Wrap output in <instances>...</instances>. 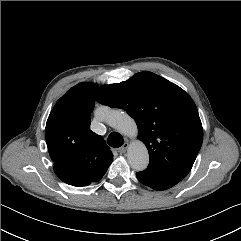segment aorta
<instances>
[{"label":"aorta","instance_id":"1","mask_svg":"<svg viewBox=\"0 0 241 241\" xmlns=\"http://www.w3.org/2000/svg\"><path fill=\"white\" fill-rule=\"evenodd\" d=\"M96 116L126 136H137L138 128L136 122L122 110H111L107 107H102L96 111ZM127 157L130 166L136 171H142L148 166V150L141 141L131 143L127 151Z\"/></svg>","mask_w":241,"mask_h":241}]
</instances>
